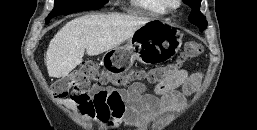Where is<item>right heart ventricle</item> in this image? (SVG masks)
<instances>
[{"mask_svg":"<svg viewBox=\"0 0 257 130\" xmlns=\"http://www.w3.org/2000/svg\"><path fill=\"white\" fill-rule=\"evenodd\" d=\"M132 8L140 14L160 16L167 13L163 0H130Z\"/></svg>","mask_w":257,"mask_h":130,"instance_id":"obj_1","label":"right heart ventricle"}]
</instances>
